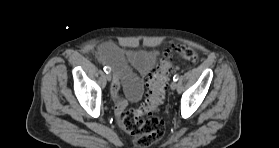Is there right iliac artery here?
<instances>
[{
    "instance_id": "right-iliac-artery-1",
    "label": "right iliac artery",
    "mask_w": 279,
    "mask_h": 148,
    "mask_svg": "<svg viewBox=\"0 0 279 148\" xmlns=\"http://www.w3.org/2000/svg\"><path fill=\"white\" fill-rule=\"evenodd\" d=\"M103 69H104L105 73H110L111 72V68L108 67V66H105Z\"/></svg>"
}]
</instances>
